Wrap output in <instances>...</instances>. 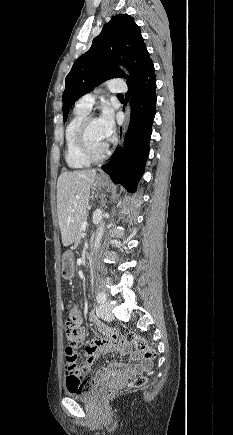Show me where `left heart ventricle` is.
<instances>
[{
  "label": "left heart ventricle",
  "mask_w": 233,
  "mask_h": 435,
  "mask_svg": "<svg viewBox=\"0 0 233 435\" xmlns=\"http://www.w3.org/2000/svg\"><path fill=\"white\" fill-rule=\"evenodd\" d=\"M87 139L88 144L94 153L99 154L105 150L108 144V139L104 136L98 120H94L90 123L87 131Z\"/></svg>",
  "instance_id": "obj_1"
}]
</instances>
